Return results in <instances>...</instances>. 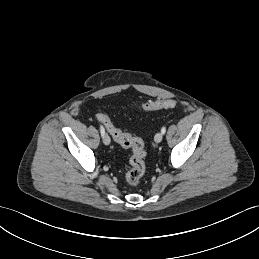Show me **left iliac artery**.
Masks as SVG:
<instances>
[{
	"label": "left iliac artery",
	"mask_w": 259,
	"mask_h": 259,
	"mask_svg": "<svg viewBox=\"0 0 259 259\" xmlns=\"http://www.w3.org/2000/svg\"><path fill=\"white\" fill-rule=\"evenodd\" d=\"M161 132H162V134H165L166 128H165V127H162Z\"/></svg>",
	"instance_id": "left-iliac-artery-1"
}]
</instances>
